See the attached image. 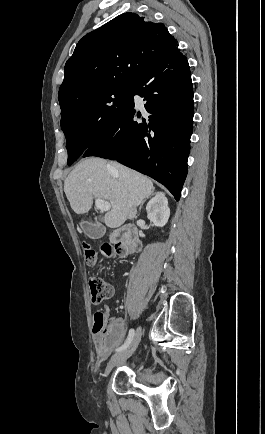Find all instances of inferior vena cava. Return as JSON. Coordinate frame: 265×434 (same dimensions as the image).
Segmentation results:
<instances>
[{"instance_id":"inferior-vena-cava-1","label":"inferior vena cava","mask_w":265,"mask_h":434,"mask_svg":"<svg viewBox=\"0 0 265 434\" xmlns=\"http://www.w3.org/2000/svg\"><path fill=\"white\" fill-rule=\"evenodd\" d=\"M136 214H137L136 206H131L128 212L129 220H133V218H136Z\"/></svg>"}]
</instances>
